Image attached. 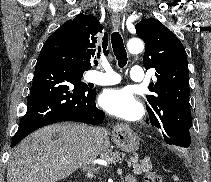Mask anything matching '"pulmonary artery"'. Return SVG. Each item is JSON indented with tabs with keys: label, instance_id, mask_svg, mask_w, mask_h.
<instances>
[{
	"label": "pulmonary artery",
	"instance_id": "e3ab8cb5",
	"mask_svg": "<svg viewBox=\"0 0 211 182\" xmlns=\"http://www.w3.org/2000/svg\"><path fill=\"white\" fill-rule=\"evenodd\" d=\"M130 76L134 81H142L144 78L143 68L139 65L132 67ZM89 80L98 85H111L118 83L120 76L111 67L104 66L102 72L93 71L89 76Z\"/></svg>",
	"mask_w": 211,
	"mask_h": 182
}]
</instances>
